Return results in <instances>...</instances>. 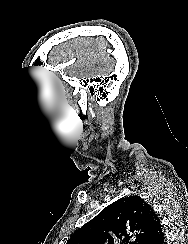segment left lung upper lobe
I'll list each match as a JSON object with an SVG mask.
<instances>
[{
	"label": "left lung upper lobe",
	"mask_w": 188,
	"mask_h": 244,
	"mask_svg": "<svg viewBox=\"0 0 188 244\" xmlns=\"http://www.w3.org/2000/svg\"><path fill=\"white\" fill-rule=\"evenodd\" d=\"M157 220L139 196L121 198L79 228L66 244H147Z\"/></svg>",
	"instance_id": "1"
}]
</instances>
